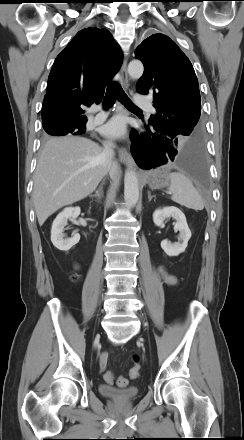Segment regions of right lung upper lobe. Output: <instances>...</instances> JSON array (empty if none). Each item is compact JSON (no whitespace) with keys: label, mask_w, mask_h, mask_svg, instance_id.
Instances as JSON below:
<instances>
[{"label":"right lung upper lobe","mask_w":244,"mask_h":440,"mask_svg":"<svg viewBox=\"0 0 244 440\" xmlns=\"http://www.w3.org/2000/svg\"><path fill=\"white\" fill-rule=\"evenodd\" d=\"M122 61L121 50L108 30L89 27L79 31L57 56L49 74L43 126L86 124L82 107L101 102Z\"/></svg>","instance_id":"1"}]
</instances>
